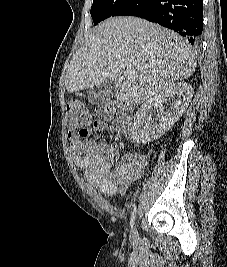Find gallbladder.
<instances>
[{"label":"gallbladder","instance_id":"obj_1","mask_svg":"<svg viewBox=\"0 0 227 267\" xmlns=\"http://www.w3.org/2000/svg\"><path fill=\"white\" fill-rule=\"evenodd\" d=\"M116 81H107L88 91V101L91 104L101 106L108 102L115 94Z\"/></svg>","mask_w":227,"mask_h":267}]
</instances>
